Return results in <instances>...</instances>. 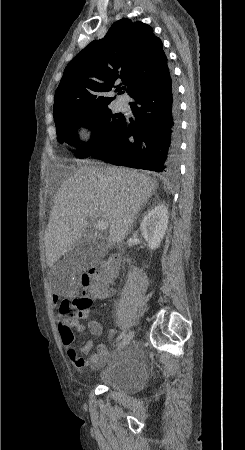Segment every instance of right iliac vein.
<instances>
[{
  "instance_id": "1",
  "label": "right iliac vein",
  "mask_w": 245,
  "mask_h": 450,
  "mask_svg": "<svg viewBox=\"0 0 245 450\" xmlns=\"http://www.w3.org/2000/svg\"><path fill=\"white\" fill-rule=\"evenodd\" d=\"M135 335L134 331H130L125 338L122 340V342L117 346L116 350H120L122 349L124 346H126L127 344H129V342L133 339Z\"/></svg>"
}]
</instances>
